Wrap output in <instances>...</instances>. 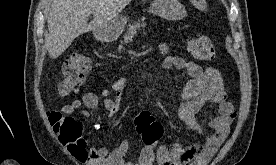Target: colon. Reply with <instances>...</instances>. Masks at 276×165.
<instances>
[{"mask_svg":"<svg viewBox=\"0 0 276 165\" xmlns=\"http://www.w3.org/2000/svg\"><path fill=\"white\" fill-rule=\"evenodd\" d=\"M188 46L197 59L210 61L215 56L214 45L206 36L192 38ZM91 69L92 62L88 57L78 53L73 54L63 65L62 79L58 86L59 93L63 96L75 93L84 83L86 75ZM49 120L63 144L67 146L82 145V128L76 119L64 116L58 111H52L49 113ZM134 125L145 145H154L162 136L161 124L148 111L140 112L135 117Z\"/></svg>","mask_w":276,"mask_h":165,"instance_id":"5ec220e1","label":"colon"}]
</instances>
